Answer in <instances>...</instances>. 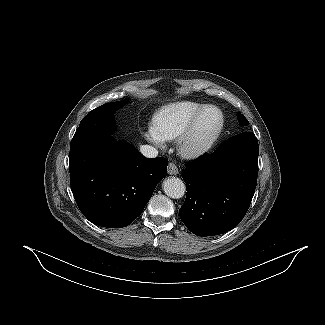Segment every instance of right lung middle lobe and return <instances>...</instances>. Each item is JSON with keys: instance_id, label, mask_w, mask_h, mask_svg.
<instances>
[{"instance_id": "1", "label": "right lung middle lobe", "mask_w": 325, "mask_h": 325, "mask_svg": "<svg viewBox=\"0 0 325 325\" xmlns=\"http://www.w3.org/2000/svg\"><path fill=\"white\" fill-rule=\"evenodd\" d=\"M127 100L106 103L90 111L80 122L75 135L109 136L115 131L114 112L124 106Z\"/></svg>"}]
</instances>
